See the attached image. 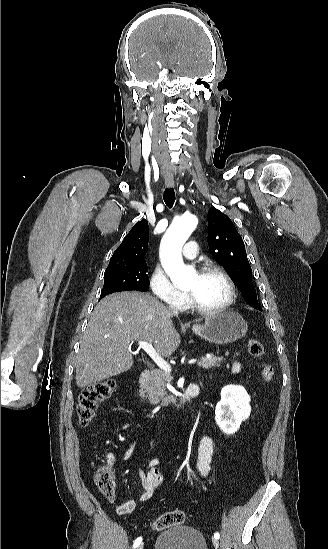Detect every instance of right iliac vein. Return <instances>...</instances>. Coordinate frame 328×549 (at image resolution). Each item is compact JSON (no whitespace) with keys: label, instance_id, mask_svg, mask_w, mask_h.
Returning a JSON list of instances; mask_svg holds the SVG:
<instances>
[{"label":"right iliac vein","instance_id":"right-iliac-vein-1","mask_svg":"<svg viewBox=\"0 0 328 549\" xmlns=\"http://www.w3.org/2000/svg\"><path fill=\"white\" fill-rule=\"evenodd\" d=\"M144 548V543H141L137 549H143Z\"/></svg>","mask_w":328,"mask_h":549}]
</instances>
